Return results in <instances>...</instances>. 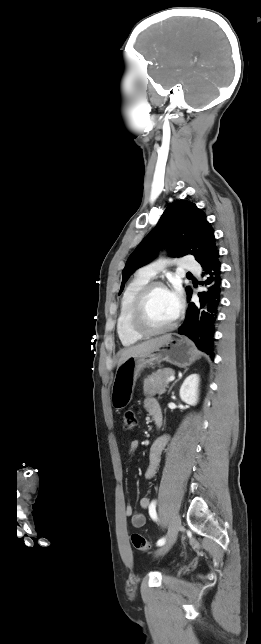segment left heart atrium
<instances>
[{"label": "left heart atrium", "mask_w": 261, "mask_h": 644, "mask_svg": "<svg viewBox=\"0 0 261 644\" xmlns=\"http://www.w3.org/2000/svg\"><path fill=\"white\" fill-rule=\"evenodd\" d=\"M171 298L176 306L177 312L181 310L183 300H182V294L179 288H175L174 290L169 291Z\"/></svg>", "instance_id": "39dd6f15"}]
</instances>
